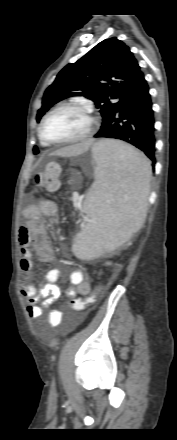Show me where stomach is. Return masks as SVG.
<instances>
[{
	"instance_id": "1",
	"label": "stomach",
	"mask_w": 177,
	"mask_h": 440,
	"mask_svg": "<svg viewBox=\"0 0 177 440\" xmlns=\"http://www.w3.org/2000/svg\"><path fill=\"white\" fill-rule=\"evenodd\" d=\"M96 145V144H95ZM95 145H93L92 150L94 149Z\"/></svg>"
}]
</instances>
